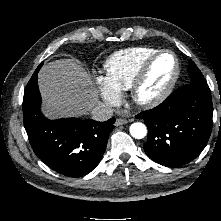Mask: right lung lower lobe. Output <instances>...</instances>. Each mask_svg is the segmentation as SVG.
<instances>
[{"mask_svg":"<svg viewBox=\"0 0 221 221\" xmlns=\"http://www.w3.org/2000/svg\"><path fill=\"white\" fill-rule=\"evenodd\" d=\"M38 67L24 91V126L35 154L54 171L81 177L100 162L115 118L97 122L78 118L51 121L40 111Z\"/></svg>","mask_w":221,"mask_h":221,"instance_id":"right-lung-lower-lobe-1","label":"right lung lower lobe"}]
</instances>
